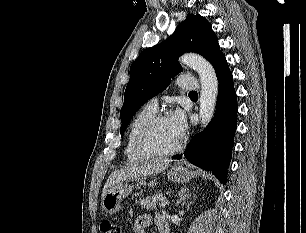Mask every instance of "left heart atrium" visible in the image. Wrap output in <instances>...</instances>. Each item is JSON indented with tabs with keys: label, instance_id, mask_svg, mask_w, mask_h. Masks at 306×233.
I'll list each match as a JSON object with an SVG mask.
<instances>
[{
	"label": "left heart atrium",
	"instance_id": "39dd6f15",
	"mask_svg": "<svg viewBox=\"0 0 306 233\" xmlns=\"http://www.w3.org/2000/svg\"><path fill=\"white\" fill-rule=\"evenodd\" d=\"M171 126L179 139H181L187 130V119L183 110L176 109L169 117Z\"/></svg>",
	"mask_w": 306,
	"mask_h": 233
}]
</instances>
